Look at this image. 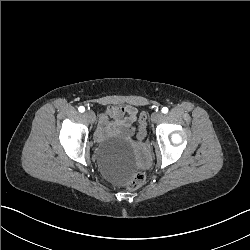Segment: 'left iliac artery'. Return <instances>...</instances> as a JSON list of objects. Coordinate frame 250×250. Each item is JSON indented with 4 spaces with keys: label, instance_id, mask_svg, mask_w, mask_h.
Listing matches in <instances>:
<instances>
[{
    "label": "left iliac artery",
    "instance_id": "obj_1",
    "mask_svg": "<svg viewBox=\"0 0 250 250\" xmlns=\"http://www.w3.org/2000/svg\"><path fill=\"white\" fill-rule=\"evenodd\" d=\"M168 112V108L167 107H163L162 108V113L166 114Z\"/></svg>",
    "mask_w": 250,
    "mask_h": 250
}]
</instances>
